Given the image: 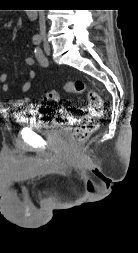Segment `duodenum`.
<instances>
[{"instance_id":"410a0bca","label":"duodenum","mask_w":138,"mask_h":253,"mask_svg":"<svg viewBox=\"0 0 138 253\" xmlns=\"http://www.w3.org/2000/svg\"><path fill=\"white\" fill-rule=\"evenodd\" d=\"M27 16H28L29 19L35 20L37 18V11H36V9H29L27 11Z\"/></svg>"}]
</instances>
